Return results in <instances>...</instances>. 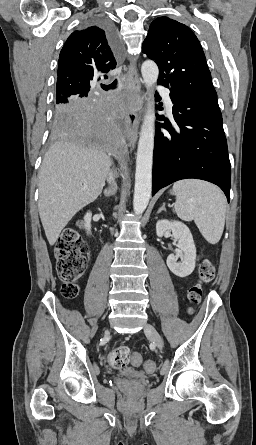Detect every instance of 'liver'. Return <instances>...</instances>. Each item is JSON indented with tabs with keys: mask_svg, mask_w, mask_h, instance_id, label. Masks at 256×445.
I'll use <instances>...</instances> for the list:
<instances>
[{
	"mask_svg": "<svg viewBox=\"0 0 256 445\" xmlns=\"http://www.w3.org/2000/svg\"><path fill=\"white\" fill-rule=\"evenodd\" d=\"M110 159L82 142L58 141L46 152L39 172L40 219L50 245L83 207L102 192Z\"/></svg>",
	"mask_w": 256,
	"mask_h": 445,
	"instance_id": "6515ba94",
	"label": "liver"
}]
</instances>
